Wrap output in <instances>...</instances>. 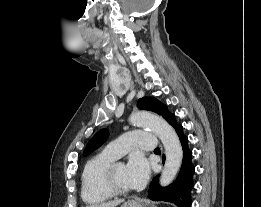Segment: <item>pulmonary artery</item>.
<instances>
[{
	"label": "pulmonary artery",
	"mask_w": 261,
	"mask_h": 207,
	"mask_svg": "<svg viewBox=\"0 0 261 207\" xmlns=\"http://www.w3.org/2000/svg\"><path fill=\"white\" fill-rule=\"evenodd\" d=\"M156 147L157 138L154 134L147 131L134 130L109 143L104 151L115 158H120L134 148L152 151Z\"/></svg>",
	"instance_id": "pulmonary-artery-1"
}]
</instances>
